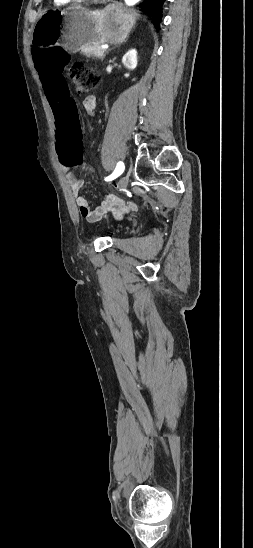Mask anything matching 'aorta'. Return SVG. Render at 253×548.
Wrapping results in <instances>:
<instances>
[{
  "instance_id": "1",
  "label": "aorta",
  "mask_w": 253,
  "mask_h": 548,
  "mask_svg": "<svg viewBox=\"0 0 253 548\" xmlns=\"http://www.w3.org/2000/svg\"><path fill=\"white\" fill-rule=\"evenodd\" d=\"M141 0H124L125 4L127 6H134L138 4Z\"/></svg>"
}]
</instances>
